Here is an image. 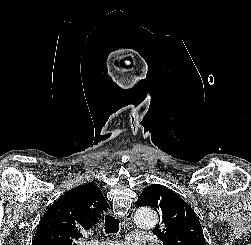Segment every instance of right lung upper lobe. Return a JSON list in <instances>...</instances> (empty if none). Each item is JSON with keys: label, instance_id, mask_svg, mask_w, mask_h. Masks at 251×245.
<instances>
[{"label": "right lung upper lobe", "instance_id": "cb5924a9", "mask_svg": "<svg viewBox=\"0 0 251 245\" xmlns=\"http://www.w3.org/2000/svg\"><path fill=\"white\" fill-rule=\"evenodd\" d=\"M109 208L97 185L88 183L61 196L40 220L32 245H76Z\"/></svg>", "mask_w": 251, "mask_h": 245}]
</instances>
